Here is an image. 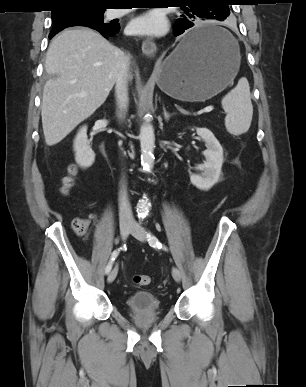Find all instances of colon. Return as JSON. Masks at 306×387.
I'll list each match as a JSON object with an SVG mask.
<instances>
[{
	"instance_id": "obj_1",
	"label": "colon",
	"mask_w": 306,
	"mask_h": 387,
	"mask_svg": "<svg viewBox=\"0 0 306 387\" xmlns=\"http://www.w3.org/2000/svg\"><path fill=\"white\" fill-rule=\"evenodd\" d=\"M77 174V168L75 165H71L68 168L67 174L62 179V192L67 194L75 184V177ZM73 230L78 235H83L87 231L88 222L83 218H75L72 223ZM151 279L148 275L136 274L133 276V282L137 286H146L150 283Z\"/></svg>"
}]
</instances>
